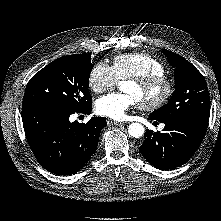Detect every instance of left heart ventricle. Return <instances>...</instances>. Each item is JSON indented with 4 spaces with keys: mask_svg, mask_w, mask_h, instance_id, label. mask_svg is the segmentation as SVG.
Listing matches in <instances>:
<instances>
[{
    "mask_svg": "<svg viewBox=\"0 0 221 221\" xmlns=\"http://www.w3.org/2000/svg\"><path fill=\"white\" fill-rule=\"evenodd\" d=\"M123 91L133 96L136 101L150 102L159 98L163 93V86L157 85L150 89L143 90L132 81L125 84Z\"/></svg>",
    "mask_w": 221,
    "mask_h": 221,
    "instance_id": "left-heart-ventricle-1",
    "label": "left heart ventricle"
}]
</instances>
